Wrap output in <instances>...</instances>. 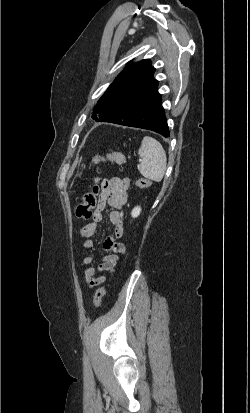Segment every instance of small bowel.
<instances>
[{
	"mask_svg": "<svg viewBox=\"0 0 250 413\" xmlns=\"http://www.w3.org/2000/svg\"><path fill=\"white\" fill-rule=\"evenodd\" d=\"M131 180L128 177H113L103 181L102 193L99 197L97 206L92 213V222L86 224L80 229V235L84 238L82 247L92 249L94 247V236L98 231V223L104 218L107 207L112 210L109 214V220L114 226L112 235L107 237L103 242V249L107 254L103 257L102 262L94 267V256L86 255L82 263L88 268L85 271L86 283L89 288H95L105 282L106 276L97 275V272L113 273L118 261L125 251V247L118 240L123 236V208L128 200V189Z\"/></svg>",
	"mask_w": 250,
	"mask_h": 413,
	"instance_id": "1",
	"label": "small bowel"
}]
</instances>
